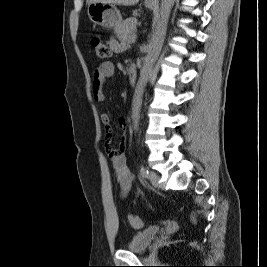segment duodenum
<instances>
[{"mask_svg":"<svg viewBox=\"0 0 267 267\" xmlns=\"http://www.w3.org/2000/svg\"><path fill=\"white\" fill-rule=\"evenodd\" d=\"M128 77L131 83H135L137 79V67L135 64H131L128 68Z\"/></svg>","mask_w":267,"mask_h":267,"instance_id":"1","label":"duodenum"}]
</instances>
